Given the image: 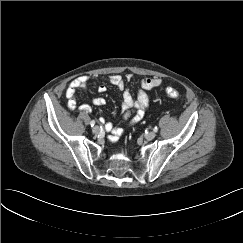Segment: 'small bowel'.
<instances>
[{"label": "small bowel", "instance_id": "1", "mask_svg": "<svg viewBox=\"0 0 243 243\" xmlns=\"http://www.w3.org/2000/svg\"><path fill=\"white\" fill-rule=\"evenodd\" d=\"M130 78L131 76L128 75L126 77V80H129ZM89 80V76L82 75L73 79L68 84L66 96L68 98V104L71 109H75L77 106V91L85 90L87 88ZM108 80L112 85L123 91L121 105L122 117L123 119H127L132 115L130 119V125H134L143 119L145 110L150 102V95L147 93V91L161 86V80L159 78L141 79L139 82L140 89L137 95L134 97L127 89L125 79L120 75H111ZM106 90L107 88L104 84L98 86V91L100 93H104ZM105 102V99L102 97H96L92 99V103L96 106H102L105 104ZM80 110L88 112L90 111V107L87 104H82L80 106ZM105 129L107 132L110 133L111 141H117L124 133V130L121 127H118L111 122L106 123Z\"/></svg>", "mask_w": 243, "mask_h": 243}]
</instances>
